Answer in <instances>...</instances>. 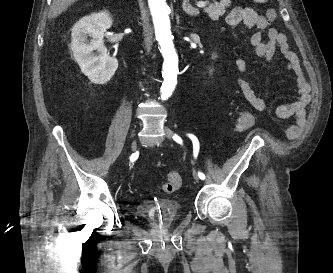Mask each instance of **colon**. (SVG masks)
<instances>
[{
  "mask_svg": "<svg viewBox=\"0 0 333 273\" xmlns=\"http://www.w3.org/2000/svg\"><path fill=\"white\" fill-rule=\"evenodd\" d=\"M276 11L274 9H268L266 11V17L268 21H274L276 19ZM255 115L249 111H244L240 114L237 122V130L245 131L253 126L255 123ZM182 183L181 176L178 172L172 171L167 175V181L162 185V189L166 193H172L180 188Z\"/></svg>",
  "mask_w": 333,
  "mask_h": 273,
  "instance_id": "obj_1",
  "label": "colon"
}]
</instances>
